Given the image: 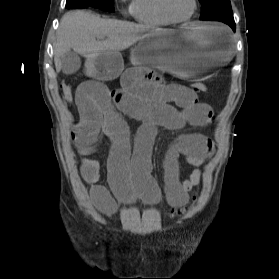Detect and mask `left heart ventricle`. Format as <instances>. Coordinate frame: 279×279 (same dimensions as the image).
<instances>
[{
    "label": "left heart ventricle",
    "mask_w": 279,
    "mask_h": 279,
    "mask_svg": "<svg viewBox=\"0 0 279 279\" xmlns=\"http://www.w3.org/2000/svg\"><path fill=\"white\" fill-rule=\"evenodd\" d=\"M169 12L177 18L188 16L193 9V0H166Z\"/></svg>",
    "instance_id": "obj_1"
}]
</instances>
